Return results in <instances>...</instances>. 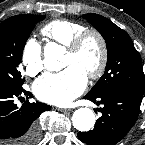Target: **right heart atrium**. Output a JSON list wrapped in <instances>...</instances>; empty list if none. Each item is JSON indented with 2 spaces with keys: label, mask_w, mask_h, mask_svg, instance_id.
Instances as JSON below:
<instances>
[{
  "label": "right heart atrium",
  "mask_w": 145,
  "mask_h": 145,
  "mask_svg": "<svg viewBox=\"0 0 145 145\" xmlns=\"http://www.w3.org/2000/svg\"><path fill=\"white\" fill-rule=\"evenodd\" d=\"M21 60L28 76L35 77L43 71L42 47L35 39L26 42Z\"/></svg>",
  "instance_id": "right-heart-atrium-1"
}]
</instances>
